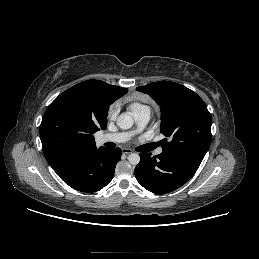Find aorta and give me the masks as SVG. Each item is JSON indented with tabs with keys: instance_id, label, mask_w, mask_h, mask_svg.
I'll list each match as a JSON object with an SVG mask.
<instances>
[{
	"instance_id": "aorta-1",
	"label": "aorta",
	"mask_w": 259,
	"mask_h": 259,
	"mask_svg": "<svg viewBox=\"0 0 259 259\" xmlns=\"http://www.w3.org/2000/svg\"><path fill=\"white\" fill-rule=\"evenodd\" d=\"M133 118L129 113H121L117 118V125L121 129H130L133 126ZM128 161L131 165H137L140 162V156L138 153H131L128 157Z\"/></svg>"
}]
</instances>
